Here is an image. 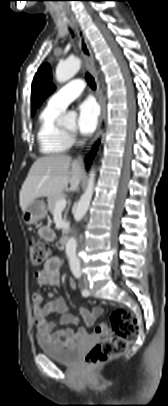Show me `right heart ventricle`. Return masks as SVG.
Returning <instances> with one entry per match:
<instances>
[{
  "mask_svg": "<svg viewBox=\"0 0 168 406\" xmlns=\"http://www.w3.org/2000/svg\"><path fill=\"white\" fill-rule=\"evenodd\" d=\"M63 110L47 105L39 115L37 140L41 153L51 155L67 151L72 139L58 124Z\"/></svg>",
  "mask_w": 168,
  "mask_h": 406,
  "instance_id": "right-heart-ventricle-1",
  "label": "right heart ventricle"
}]
</instances>
